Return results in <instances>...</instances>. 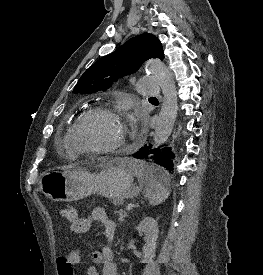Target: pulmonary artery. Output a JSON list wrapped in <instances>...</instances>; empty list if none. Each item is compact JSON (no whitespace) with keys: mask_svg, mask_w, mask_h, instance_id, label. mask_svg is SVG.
<instances>
[{"mask_svg":"<svg viewBox=\"0 0 263 275\" xmlns=\"http://www.w3.org/2000/svg\"><path fill=\"white\" fill-rule=\"evenodd\" d=\"M137 91L145 96H155L159 93V86L153 79L143 77L137 83Z\"/></svg>","mask_w":263,"mask_h":275,"instance_id":"pulmonary-artery-1","label":"pulmonary artery"}]
</instances>
